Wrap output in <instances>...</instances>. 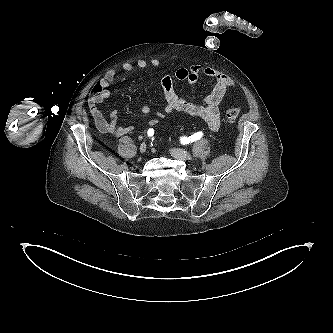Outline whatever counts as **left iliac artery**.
<instances>
[{"label":"left iliac artery","instance_id":"44dca946","mask_svg":"<svg viewBox=\"0 0 333 333\" xmlns=\"http://www.w3.org/2000/svg\"><path fill=\"white\" fill-rule=\"evenodd\" d=\"M203 133L202 132H196L193 135L189 136V137H182L180 140L183 144H188L190 142H194L199 140L200 138H202Z\"/></svg>","mask_w":333,"mask_h":333}]
</instances>
